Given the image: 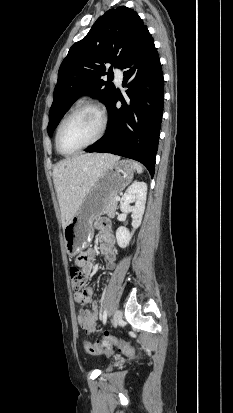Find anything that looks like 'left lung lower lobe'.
Wrapping results in <instances>:
<instances>
[{
	"instance_id": "0a47b994",
	"label": "left lung lower lobe",
	"mask_w": 233,
	"mask_h": 413,
	"mask_svg": "<svg viewBox=\"0 0 233 413\" xmlns=\"http://www.w3.org/2000/svg\"><path fill=\"white\" fill-rule=\"evenodd\" d=\"M126 97L115 94L107 109L110 124L104 136L86 149L141 162L154 175L163 115L164 80L160 59L149 31L122 65ZM120 100L122 106L116 108Z\"/></svg>"
}]
</instances>
